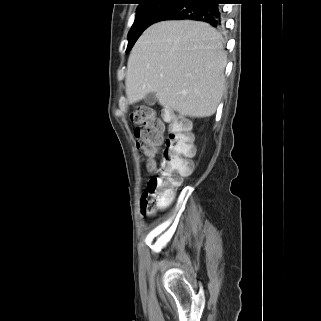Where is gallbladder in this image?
<instances>
[{
  "label": "gallbladder",
  "mask_w": 321,
  "mask_h": 321,
  "mask_svg": "<svg viewBox=\"0 0 321 321\" xmlns=\"http://www.w3.org/2000/svg\"><path fill=\"white\" fill-rule=\"evenodd\" d=\"M145 104L153 106L157 102V97L155 93H149L144 97Z\"/></svg>",
  "instance_id": "bac80fb5"
}]
</instances>
